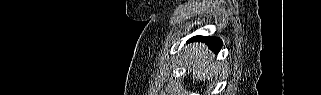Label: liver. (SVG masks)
Listing matches in <instances>:
<instances>
[{"instance_id":"6515ba94","label":"liver","mask_w":321,"mask_h":95,"mask_svg":"<svg viewBox=\"0 0 321 95\" xmlns=\"http://www.w3.org/2000/svg\"><path fill=\"white\" fill-rule=\"evenodd\" d=\"M187 57L190 59L193 77L205 81L213 77L219 69V64L213 60V53L203 44L195 43L186 48Z\"/></svg>"}]
</instances>
